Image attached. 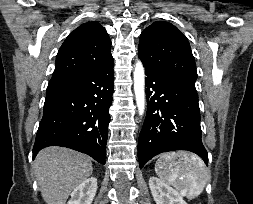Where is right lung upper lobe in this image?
<instances>
[{"label":"right lung upper lobe","instance_id":"cb5924a9","mask_svg":"<svg viewBox=\"0 0 253 204\" xmlns=\"http://www.w3.org/2000/svg\"><path fill=\"white\" fill-rule=\"evenodd\" d=\"M111 40L98 22H88L72 31L57 54L49 83L76 76L113 60Z\"/></svg>","mask_w":253,"mask_h":204}]
</instances>
